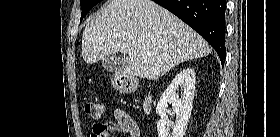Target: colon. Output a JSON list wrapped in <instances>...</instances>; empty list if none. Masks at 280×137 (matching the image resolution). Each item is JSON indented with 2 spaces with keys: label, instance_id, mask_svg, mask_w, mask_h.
<instances>
[{
  "label": "colon",
  "instance_id": "obj_1",
  "mask_svg": "<svg viewBox=\"0 0 280 137\" xmlns=\"http://www.w3.org/2000/svg\"><path fill=\"white\" fill-rule=\"evenodd\" d=\"M86 113L93 119H100L104 112V107L101 102L98 101H90L85 105ZM126 123L130 126H133L130 120H127Z\"/></svg>",
  "mask_w": 280,
  "mask_h": 137
}]
</instances>
